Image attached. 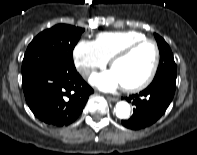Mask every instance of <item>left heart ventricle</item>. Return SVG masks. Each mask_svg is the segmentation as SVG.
Masks as SVG:
<instances>
[{
    "instance_id": "left-heart-ventricle-1",
    "label": "left heart ventricle",
    "mask_w": 197,
    "mask_h": 155,
    "mask_svg": "<svg viewBox=\"0 0 197 155\" xmlns=\"http://www.w3.org/2000/svg\"><path fill=\"white\" fill-rule=\"evenodd\" d=\"M154 57L153 46L144 44L128 56L118 60L112 70L117 74L122 85H135L146 78L153 65Z\"/></svg>"
}]
</instances>
